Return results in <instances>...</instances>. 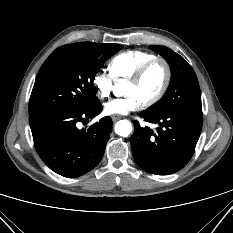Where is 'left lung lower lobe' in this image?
Returning <instances> with one entry per match:
<instances>
[{"instance_id":"0a47b994","label":"left lung lower lobe","mask_w":233,"mask_h":233,"mask_svg":"<svg viewBox=\"0 0 233 233\" xmlns=\"http://www.w3.org/2000/svg\"><path fill=\"white\" fill-rule=\"evenodd\" d=\"M145 121L158 124L156 132L133 121L131 148L136 163L156 175H169L191 159L202 129V110L176 109L158 116L145 111Z\"/></svg>"}]
</instances>
